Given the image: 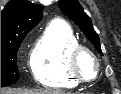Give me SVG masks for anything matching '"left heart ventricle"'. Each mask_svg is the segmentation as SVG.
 Masks as SVG:
<instances>
[{
    "label": "left heart ventricle",
    "instance_id": "left-heart-ventricle-1",
    "mask_svg": "<svg viewBox=\"0 0 121 94\" xmlns=\"http://www.w3.org/2000/svg\"><path fill=\"white\" fill-rule=\"evenodd\" d=\"M80 71L84 76L92 77L95 72V63L88 55H83L79 62Z\"/></svg>",
    "mask_w": 121,
    "mask_h": 94
}]
</instances>
